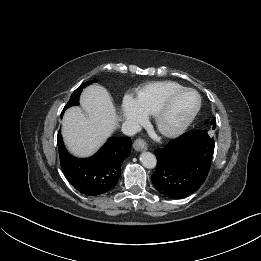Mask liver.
<instances>
[{"label":"liver","instance_id":"6515ba94","mask_svg":"<svg viewBox=\"0 0 261 261\" xmlns=\"http://www.w3.org/2000/svg\"><path fill=\"white\" fill-rule=\"evenodd\" d=\"M79 107L69 108L62 121V136L68 150L77 157L93 155L118 124L116 109L107 90L100 85L86 87Z\"/></svg>","mask_w":261,"mask_h":261}]
</instances>
